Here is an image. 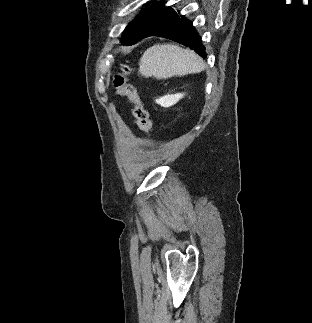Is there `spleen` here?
<instances>
[{
  "label": "spleen",
  "mask_w": 312,
  "mask_h": 323,
  "mask_svg": "<svg viewBox=\"0 0 312 323\" xmlns=\"http://www.w3.org/2000/svg\"><path fill=\"white\" fill-rule=\"evenodd\" d=\"M205 70V64L192 50H183L172 44H156L144 52L139 66V72L145 78H172L198 74Z\"/></svg>",
  "instance_id": "spleen-1"
}]
</instances>
